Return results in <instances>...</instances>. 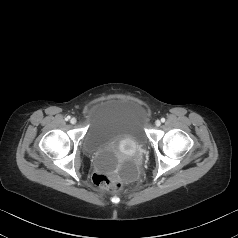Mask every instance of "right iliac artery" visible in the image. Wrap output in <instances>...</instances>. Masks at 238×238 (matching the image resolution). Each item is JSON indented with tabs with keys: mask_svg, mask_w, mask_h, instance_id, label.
<instances>
[{
	"mask_svg": "<svg viewBox=\"0 0 238 238\" xmlns=\"http://www.w3.org/2000/svg\"><path fill=\"white\" fill-rule=\"evenodd\" d=\"M65 119H66V120H69V119H70V116H67Z\"/></svg>",
	"mask_w": 238,
	"mask_h": 238,
	"instance_id": "obj_1",
	"label": "right iliac artery"
}]
</instances>
